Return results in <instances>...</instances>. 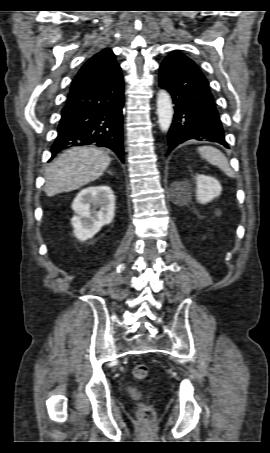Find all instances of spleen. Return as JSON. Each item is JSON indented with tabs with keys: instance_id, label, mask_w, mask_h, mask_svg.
<instances>
[{
	"instance_id": "3e777b00",
	"label": "spleen",
	"mask_w": 270,
	"mask_h": 453,
	"mask_svg": "<svg viewBox=\"0 0 270 453\" xmlns=\"http://www.w3.org/2000/svg\"><path fill=\"white\" fill-rule=\"evenodd\" d=\"M197 150L201 158L205 159L210 164L217 166L229 177H235L234 172L229 165L228 159L220 150L213 146H200Z\"/></svg>"
}]
</instances>
